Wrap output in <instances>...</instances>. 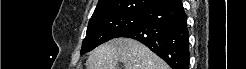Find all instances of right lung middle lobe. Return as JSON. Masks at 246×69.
I'll return each mask as SVG.
<instances>
[{
    "instance_id": "right-lung-middle-lobe-1",
    "label": "right lung middle lobe",
    "mask_w": 246,
    "mask_h": 69,
    "mask_svg": "<svg viewBox=\"0 0 246 69\" xmlns=\"http://www.w3.org/2000/svg\"><path fill=\"white\" fill-rule=\"evenodd\" d=\"M141 20L142 14H119L89 21L81 54L119 37L124 31L138 25Z\"/></svg>"
}]
</instances>
